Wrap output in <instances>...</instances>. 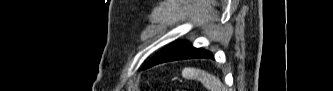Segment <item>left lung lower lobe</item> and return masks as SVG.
Returning <instances> with one entry per match:
<instances>
[{
	"label": "left lung lower lobe",
	"mask_w": 333,
	"mask_h": 91,
	"mask_svg": "<svg viewBox=\"0 0 333 91\" xmlns=\"http://www.w3.org/2000/svg\"><path fill=\"white\" fill-rule=\"evenodd\" d=\"M213 57V54L209 51L194 48L191 44L184 41H176L171 45L160 50L144 67L147 69L156 64H160L167 61L191 59V58H209Z\"/></svg>",
	"instance_id": "left-lung-lower-lobe-1"
}]
</instances>
